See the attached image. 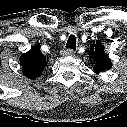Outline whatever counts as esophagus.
I'll return each mask as SVG.
<instances>
[{"label": "esophagus", "mask_w": 127, "mask_h": 127, "mask_svg": "<svg viewBox=\"0 0 127 127\" xmlns=\"http://www.w3.org/2000/svg\"><path fill=\"white\" fill-rule=\"evenodd\" d=\"M74 53L75 52L72 49H64V50L60 51V54L62 56H72V55H74Z\"/></svg>", "instance_id": "1"}]
</instances>
